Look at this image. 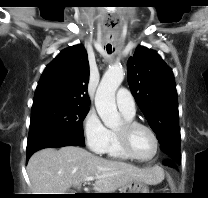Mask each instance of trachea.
I'll use <instances>...</instances> for the list:
<instances>
[{
  "instance_id": "trachea-1",
  "label": "trachea",
  "mask_w": 208,
  "mask_h": 198,
  "mask_svg": "<svg viewBox=\"0 0 208 198\" xmlns=\"http://www.w3.org/2000/svg\"><path fill=\"white\" fill-rule=\"evenodd\" d=\"M106 50H107L108 53H111L112 52V47L111 46H107Z\"/></svg>"
}]
</instances>
